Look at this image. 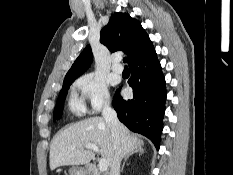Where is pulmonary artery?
I'll return each mask as SVG.
<instances>
[{
    "mask_svg": "<svg viewBox=\"0 0 233 175\" xmlns=\"http://www.w3.org/2000/svg\"><path fill=\"white\" fill-rule=\"evenodd\" d=\"M112 70L117 74H121L123 72V67L120 65L119 59L114 60Z\"/></svg>",
    "mask_w": 233,
    "mask_h": 175,
    "instance_id": "1",
    "label": "pulmonary artery"
}]
</instances>
